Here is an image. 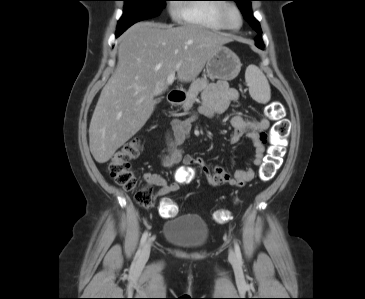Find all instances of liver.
<instances>
[{
  "label": "liver",
  "mask_w": 365,
  "mask_h": 299,
  "mask_svg": "<svg viewBox=\"0 0 365 299\" xmlns=\"http://www.w3.org/2000/svg\"><path fill=\"white\" fill-rule=\"evenodd\" d=\"M232 41L221 32L195 26L139 22L120 38L118 64L101 91L89 126V146L98 163L108 162L152 115L154 97L167 77L194 80L210 56Z\"/></svg>",
  "instance_id": "obj_1"
}]
</instances>
